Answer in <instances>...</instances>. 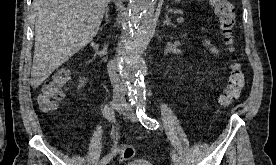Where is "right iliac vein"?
I'll list each match as a JSON object with an SVG mask.
<instances>
[{"label":"right iliac vein","instance_id":"1","mask_svg":"<svg viewBox=\"0 0 276 165\" xmlns=\"http://www.w3.org/2000/svg\"><path fill=\"white\" fill-rule=\"evenodd\" d=\"M120 107H121L120 102H118V101H113V102H112V109H111V111L113 112L114 109L118 110ZM106 164H107V163H106ZM106 164H104V165H106Z\"/></svg>","mask_w":276,"mask_h":165}]
</instances>
